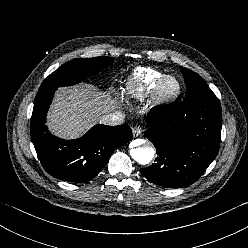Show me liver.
Returning a JSON list of instances; mask_svg holds the SVG:
<instances>
[{"mask_svg": "<svg viewBox=\"0 0 248 248\" xmlns=\"http://www.w3.org/2000/svg\"><path fill=\"white\" fill-rule=\"evenodd\" d=\"M109 92L89 84L61 87L48 112L49 130L58 137L74 139L115 109Z\"/></svg>", "mask_w": 248, "mask_h": 248, "instance_id": "obj_1", "label": "liver"}]
</instances>
